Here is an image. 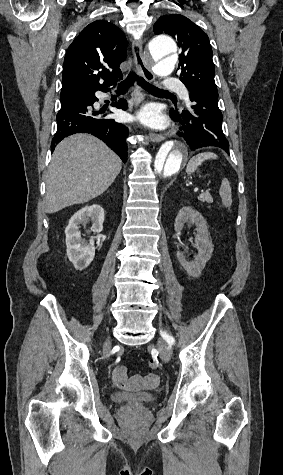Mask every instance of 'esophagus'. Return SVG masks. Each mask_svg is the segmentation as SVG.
Here are the masks:
<instances>
[{"label": "esophagus", "mask_w": 283, "mask_h": 475, "mask_svg": "<svg viewBox=\"0 0 283 475\" xmlns=\"http://www.w3.org/2000/svg\"><path fill=\"white\" fill-rule=\"evenodd\" d=\"M132 51L134 55L135 65L139 73L144 77L147 82H153L155 80V75L144 59L141 40L133 41ZM149 138L152 142H161L162 140H164L163 135L156 133H150Z\"/></svg>", "instance_id": "1"}]
</instances>
